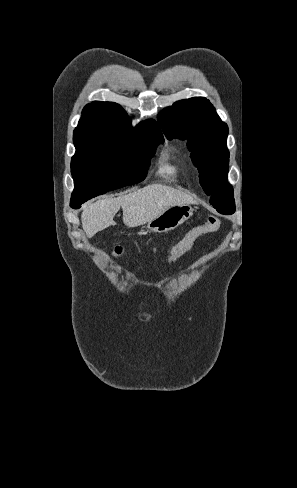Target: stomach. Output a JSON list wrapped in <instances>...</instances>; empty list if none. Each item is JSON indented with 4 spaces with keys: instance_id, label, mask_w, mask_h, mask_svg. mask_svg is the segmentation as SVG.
I'll return each instance as SVG.
<instances>
[{
    "instance_id": "1",
    "label": "stomach",
    "mask_w": 297,
    "mask_h": 488,
    "mask_svg": "<svg viewBox=\"0 0 297 488\" xmlns=\"http://www.w3.org/2000/svg\"><path fill=\"white\" fill-rule=\"evenodd\" d=\"M193 215L189 204H177L169 207L147 224L151 232L164 233L176 229Z\"/></svg>"
}]
</instances>
